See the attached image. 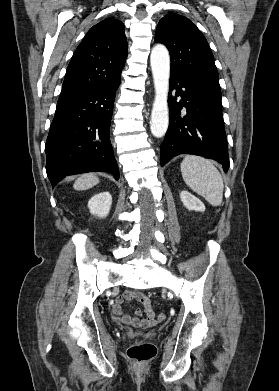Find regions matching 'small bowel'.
<instances>
[{
	"label": "small bowel",
	"mask_w": 279,
	"mask_h": 391,
	"mask_svg": "<svg viewBox=\"0 0 279 391\" xmlns=\"http://www.w3.org/2000/svg\"><path fill=\"white\" fill-rule=\"evenodd\" d=\"M136 300L143 305L144 317L140 318L143 315L141 310L136 311L137 317H130L129 315L123 314L122 305L125 301ZM113 317L116 320L121 321L124 324L131 325L135 328H149L154 326L156 323L155 311L151 305L148 297L141 293L135 291H127L122 296L118 297L112 307Z\"/></svg>",
	"instance_id": "1"
}]
</instances>
